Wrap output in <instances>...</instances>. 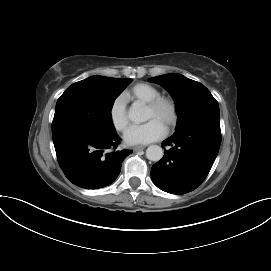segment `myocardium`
Masks as SVG:
<instances>
[{"instance_id": "f54148a6", "label": "myocardium", "mask_w": 271, "mask_h": 271, "mask_svg": "<svg viewBox=\"0 0 271 271\" xmlns=\"http://www.w3.org/2000/svg\"><path fill=\"white\" fill-rule=\"evenodd\" d=\"M163 106H166L169 109L170 114L168 122L166 124V129L171 130L175 127L178 121V107L176 101L169 96L160 95L146 103V107L153 111H156Z\"/></svg>"}]
</instances>
